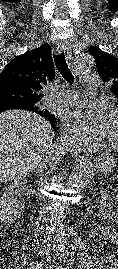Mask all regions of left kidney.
I'll return each instance as SVG.
<instances>
[{"label":"left kidney","mask_w":118,"mask_h":269,"mask_svg":"<svg viewBox=\"0 0 118 269\" xmlns=\"http://www.w3.org/2000/svg\"><path fill=\"white\" fill-rule=\"evenodd\" d=\"M101 200H100V209L98 216L104 221L110 216L111 210L113 208L112 199L110 198L109 191L107 189H101Z\"/></svg>","instance_id":"5707ae66"}]
</instances>
